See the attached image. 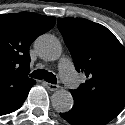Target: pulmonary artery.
Returning <instances> with one entry per match:
<instances>
[{
	"label": "pulmonary artery",
	"instance_id": "pulmonary-artery-1",
	"mask_svg": "<svg viewBox=\"0 0 125 125\" xmlns=\"http://www.w3.org/2000/svg\"><path fill=\"white\" fill-rule=\"evenodd\" d=\"M59 73L65 84L72 88L78 84V77L69 59L63 58L59 63Z\"/></svg>",
	"mask_w": 125,
	"mask_h": 125
}]
</instances>
